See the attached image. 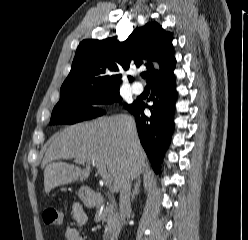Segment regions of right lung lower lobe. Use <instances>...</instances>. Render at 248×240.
Masks as SVG:
<instances>
[{
    "label": "right lung lower lobe",
    "instance_id": "obj_1",
    "mask_svg": "<svg viewBox=\"0 0 248 240\" xmlns=\"http://www.w3.org/2000/svg\"><path fill=\"white\" fill-rule=\"evenodd\" d=\"M152 106L142 101H134L126 109L135 117L140 142L156 172L160 170V161L171 141L174 129L173 115L177 91L175 75L159 79L151 84ZM148 108L151 116L144 115Z\"/></svg>",
    "mask_w": 248,
    "mask_h": 240
}]
</instances>
